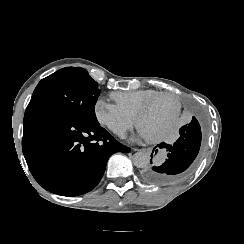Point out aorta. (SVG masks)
I'll list each match as a JSON object with an SVG mask.
<instances>
[{
	"mask_svg": "<svg viewBox=\"0 0 244 244\" xmlns=\"http://www.w3.org/2000/svg\"><path fill=\"white\" fill-rule=\"evenodd\" d=\"M150 161V156L148 153L139 151L133 155V164L137 168H145L148 166Z\"/></svg>",
	"mask_w": 244,
	"mask_h": 244,
	"instance_id": "1",
	"label": "aorta"
}]
</instances>
